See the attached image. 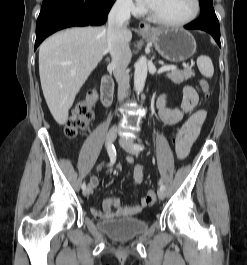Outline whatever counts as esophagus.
<instances>
[{
  "instance_id": "obj_1",
  "label": "esophagus",
  "mask_w": 247,
  "mask_h": 265,
  "mask_svg": "<svg viewBox=\"0 0 247 265\" xmlns=\"http://www.w3.org/2000/svg\"><path fill=\"white\" fill-rule=\"evenodd\" d=\"M139 30L142 32H150V31H152V28H151L150 24H148L147 22L141 21L139 23Z\"/></svg>"
}]
</instances>
